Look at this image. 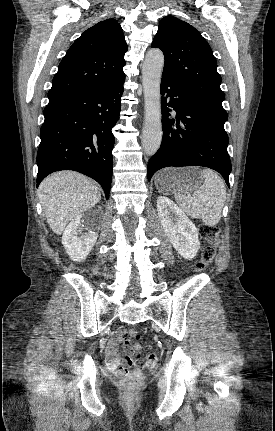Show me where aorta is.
I'll return each instance as SVG.
<instances>
[{
  "instance_id": "aorta-1",
  "label": "aorta",
  "mask_w": 275,
  "mask_h": 431,
  "mask_svg": "<svg viewBox=\"0 0 275 431\" xmlns=\"http://www.w3.org/2000/svg\"><path fill=\"white\" fill-rule=\"evenodd\" d=\"M163 66V52L157 48L149 50L142 67L145 102L142 146L144 152L149 156L157 152L162 141L160 83Z\"/></svg>"
}]
</instances>
